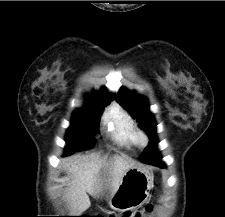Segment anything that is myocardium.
Here are the masks:
<instances>
[{
  "label": "myocardium",
  "instance_id": "myocardium-1",
  "mask_svg": "<svg viewBox=\"0 0 225 217\" xmlns=\"http://www.w3.org/2000/svg\"><path fill=\"white\" fill-rule=\"evenodd\" d=\"M138 142L142 145H146L148 143V136L143 132H139L138 133Z\"/></svg>",
  "mask_w": 225,
  "mask_h": 217
}]
</instances>
